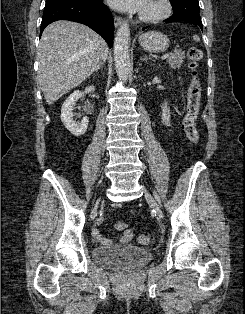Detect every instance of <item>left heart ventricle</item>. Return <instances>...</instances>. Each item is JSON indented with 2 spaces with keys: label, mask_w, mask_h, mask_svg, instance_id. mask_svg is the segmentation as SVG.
<instances>
[{
  "label": "left heart ventricle",
  "mask_w": 245,
  "mask_h": 314,
  "mask_svg": "<svg viewBox=\"0 0 245 314\" xmlns=\"http://www.w3.org/2000/svg\"><path fill=\"white\" fill-rule=\"evenodd\" d=\"M159 5L154 0H148L142 13L144 14H154L159 11Z\"/></svg>",
  "instance_id": "obj_1"
}]
</instances>
